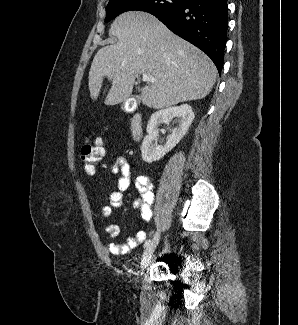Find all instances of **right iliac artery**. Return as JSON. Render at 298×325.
<instances>
[{"mask_svg":"<svg viewBox=\"0 0 298 325\" xmlns=\"http://www.w3.org/2000/svg\"><path fill=\"white\" fill-rule=\"evenodd\" d=\"M150 242H151L150 240H146L145 243H144V248H147L148 245L150 244Z\"/></svg>","mask_w":298,"mask_h":325,"instance_id":"right-iliac-artery-1","label":"right iliac artery"}]
</instances>
